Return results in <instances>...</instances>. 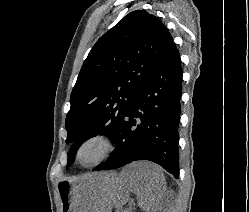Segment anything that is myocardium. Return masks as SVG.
<instances>
[{"label": "myocardium", "instance_id": "myocardium-1", "mask_svg": "<svg viewBox=\"0 0 249 212\" xmlns=\"http://www.w3.org/2000/svg\"><path fill=\"white\" fill-rule=\"evenodd\" d=\"M93 141H102L105 144V151L104 153L96 160L92 162H86L83 163L80 161V153L82 149L90 142ZM118 147V142L116 138L109 132L106 131H98L91 133L87 136H85L83 139H81L74 151V160L76 164H78L81 167L84 168H91L96 167L102 163H104L106 160H108L114 153L116 152Z\"/></svg>", "mask_w": 249, "mask_h": 212}]
</instances>
